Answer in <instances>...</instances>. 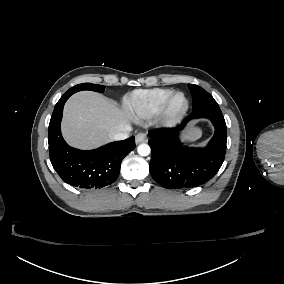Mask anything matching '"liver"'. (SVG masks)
I'll return each instance as SVG.
<instances>
[{
  "instance_id": "6515ba94",
  "label": "liver",
  "mask_w": 284,
  "mask_h": 284,
  "mask_svg": "<svg viewBox=\"0 0 284 284\" xmlns=\"http://www.w3.org/2000/svg\"><path fill=\"white\" fill-rule=\"evenodd\" d=\"M127 125L124 112L104 96L94 92H80L73 95L64 110L63 131L73 145L93 147L112 139V136ZM191 140L201 134L194 127L190 129Z\"/></svg>"
}]
</instances>
